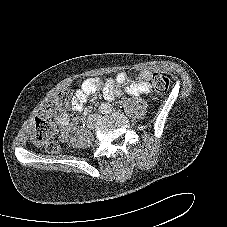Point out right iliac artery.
<instances>
[{
  "mask_svg": "<svg viewBox=\"0 0 227 227\" xmlns=\"http://www.w3.org/2000/svg\"><path fill=\"white\" fill-rule=\"evenodd\" d=\"M101 112H105V110L103 108L100 109ZM104 114V113H103Z\"/></svg>",
  "mask_w": 227,
  "mask_h": 227,
  "instance_id": "right-iliac-artery-1",
  "label": "right iliac artery"
}]
</instances>
